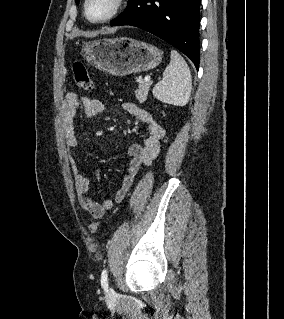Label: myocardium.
Masks as SVG:
<instances>
[{
	"mask_svg": "<svg viewBox=\"0 0 284 319\" xmlns=\"http://www.w3.org/2000/svg\"><path fill=\"white\" fill-rule=\"evenodd\" d=\"M89 2H90V0L84 1L83 13H84L85 18L92 24H103V23H107V22L111 21L112 19H114L116 16H118L120 14V12L123 10V8L126 4V0H114L111 11L104 18L96 20V19H92L88 14Z\"/></svg>",
	"mask_w": 284,
	"mask_h": 319,
	"instance_id": "1",
	"label": "myocardium"
}]
</instances>
